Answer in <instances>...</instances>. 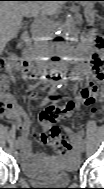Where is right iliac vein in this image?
<instances>
[{"mask_svg":"<svg viewBox=\"0 0 104 189\" xmlns=\"http://www.w3.org/2000/svg\"><path fill=\"white\" fill-rule=\"evenodd\" d=\"M15 148H16L17 150H20V149L22 148L21 142L16 141V143H15Z\"/></svg>","mask_w":104,"mask_h":189,"instance_id":"1","label":"right iliac vein"}]
</instances>
